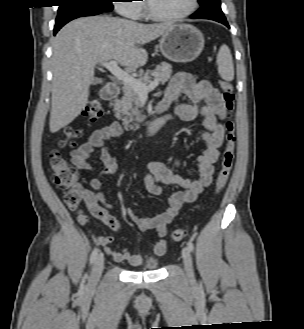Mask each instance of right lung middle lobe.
<instances>
[{
    "label": "right lung middle lobe",
    "mask_w": 304,
    "mask_h": 329,
    "mask_svg": "<svg viewBox=\"0 0 304 329\" xmlns=\"http://www.w3.org/2000/svg\"><path fill=\"white\" fill-rule=\"evenodd\" d=\"M56 23L82 12H108L113 9L112 0H58Z\"/></svg>",
    "instance_id": "right-lung-middle-lobe-1"
}]
</instances>
